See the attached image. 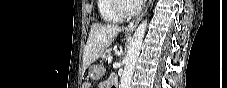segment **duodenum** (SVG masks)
<instances>
[{"instance_id":"obj_1","label":"duodenum","mask_w":227,"mask_h":88,"mask_svg":"<svg viewBox=\"0 0 227 88\" xmlns=\"http://www.w3.org/2000/svg\"><path fill=\"white\" fill-rule=\"evenodd\" d=\"M112 84H113V87H116V85H117V80H116V79L113 80V81H112Z\"/></svg>"}]
</instances>
